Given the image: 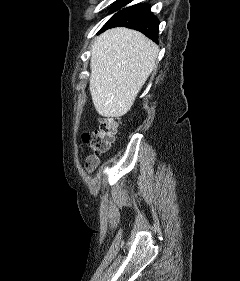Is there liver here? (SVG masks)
<instances>
[{
    "label": "liver",
    "instance_id": "liver-1",
    "mask_svg": "<svg viewBox=\"0 0 240 281\" xmlns=\"http://www.w3.org/2000/svg\"><path fill=\"white\" fill-rule=\"evenodd\" d=\"M158 46L142 33L118 27L94 39L89 89L99 115L121 117L156 66Z\"/></svg>",
    "mask_w": 240,
    "mask_h": 281
}]
</instances>
